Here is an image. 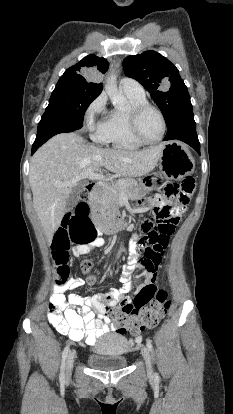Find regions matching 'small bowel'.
<instances>
[{
	"instance_id": "small-bowel-1",
	"label": "small bowel",
	"mask_w": 233,
	"mask_h": 414,
	"mask_svg": "<svg viewBox=\"0 0 233 414\" xmlns=\"http://www.w3.org/2000/svg\"><path fill=\"white\" fill-rule=\"evenodd\" d=\"M157 205L158 208L165 207V201L162 197L157 198ZM171 211L173 214V224L176 225L186 211V205L172 207ZM103 244L104 239L97 237L86 247H74L73 253L75 256H80L91 249L101 247ZM128 251H130V256L120 277L123 283L122 287L118 288L115 283L109 286V289L112 291V297L109 299L108 304L111 306L117 305L124 299H131L126 296L129 292L132 291L137 294L143 287L154 284L157 279L156 270L153 272L144 270L137 263L138 245L136 242L131 243ZM137 268L142 270L141 275L144 280L135 284L131 281V274ZM75 274L70 273L69 277L66 278V282L62 284V288L50 289V292L58 294H54L51 297L47 317L60 334L68 336L75 342L83 341L87 345L92 346L104 333L111 329L106 323L109 306L101 302L104 297L100 294L79 296L73 293L72 290H80L81 287L83 288L87 284V280L83 275H77V272ZM68 291L70 292L67 295L63 294ZM97 312L98 316H96Z\"/></svg>"
}]
</instances>
